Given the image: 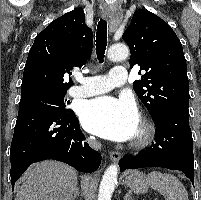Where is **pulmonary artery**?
Masks as SVG:
<instances>
[{"label":"pulmonary artery","instance_id":"1","mask_svg":"<svg viewBox=\"0 0 201 200\" xmlns=\"http://www.w3.org/2000/svg\"><path fill=\"white\" fill-rule=\"evenodd\" d=\"M127 73L124 67L115 66L108 75L77 76L80 85L71 87L67 95L72 98H86L108 92L125 83Z\"/></svg>","mask_w":201,"mask_h":200}]
</instances>
